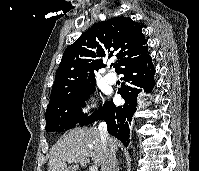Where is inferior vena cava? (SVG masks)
Wrapping results in <instances>:
<instances>
[{
	"label": "inferior vena cava",
	"mask_w": 199,
	"mask_h": 171,
	"mask_svg": "<svg viewBox=\"0 0 199 171\" xmlns=\"http://www.w3.org/2000/svg\"><path fill=\"white\" fill-rule=\"evenodd\" d=\"M98 130L101 137L108 142V150L102 171H116V152L111 144V139L107 130V124L105 122H101L98 126Z\"/></svg>",
	"instance_id": "obj_1"
}]
</instances>
